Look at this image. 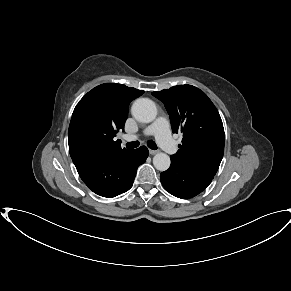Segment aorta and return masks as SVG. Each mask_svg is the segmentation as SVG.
Wrapping results in <instances>:
<instances>
[{"instance_id":"aorta-1","label":"aorta","mask_w":291,"mask_h":291,"mask_svg":"<svg viewBox=\"0 0 291 291\" xmlns=\"http://www.w3.org/2000/svg\"><path fill=\"white\" fill-rule=\"evenodd\" d=\"M133 117L143 123L152 122L157 115L155 103L149 98H138L132 105ZM170 157L165 153H157L153 157V165L159 171H166L170 167Z\"/></svg>"}]
</instances>
